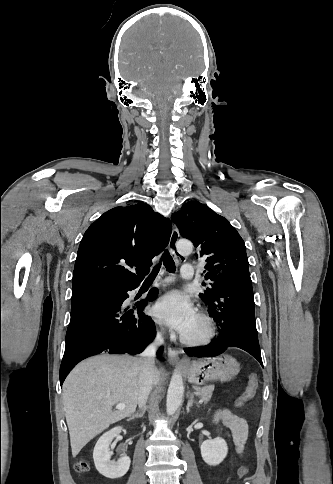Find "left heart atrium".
I'll return each instance as SVG.
<instances>
[{
    "mask_svg": "<svg viewBox=\"0 0 333 484\" xmlns=\"http://www.w3.org/2000/svg\"><path fill=\"white\" fill-rule=\"evenodd\" d=\"M152 315L158 321L184 334L197 317V311L191 299L176 290L166 293L155 302Z\"/></svg>",
    "mask_w": 333,
    "mask_h": 484,
    "instance_id": "1",
    "label": "left heart atrium"
}]
</instances>
